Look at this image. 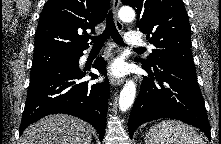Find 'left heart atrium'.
I'll return each mask as SVG.
<instances>
[{
	"label": "left heart atrium",
	"mask_w": 221,
	"mask_h": 144,
	"mask_svg": "<svg viewBox=\"0 0 221 144\" xmlns=\"http://www.w3.org/2000/svg\"><path fill=\"white\" fill-rule=\"evenodd\" d=\"M110 72L113 76H123L126 73V66L122 61H115L110 67Z\"/></svg>",
	"instance_id": "1"
}]
</instances>
